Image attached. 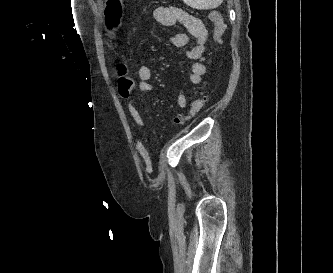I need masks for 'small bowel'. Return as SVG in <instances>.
I'll list each match as a JSON object with an SVG mask.
<instances>
[{
	"label": "small bowel",
	"instance_id": "c3829d8e",
	"mask_svg": "<svg viewBox=\"0 0 333 273\" xmlns=\"http://www.w3.org/2000/svg\"><path fill=\"white\" fill-rule=\"evenodd\" d=\"M152 16L159 25L165 27L180 26L185 29L184 33L168 36V41L173 46L185 50L186 57L192 61L189 68V81L193 84L200 83L206 71L205 45L208 30L204 22L185 10L172 6L158 7L153 10ZM137 75L139 92L141 94L151 93L154 88L151 83L152 70L150 67L147 65L140 66ZM136 102V98H131L127 103V109L136 125L141 130H145L146 123L137 109ZM177 104L181 109H187L189 105L187 96L183 91H179L177 94ZM178 120L179 116L174 119L173 123L175 124ZM135 148L145 162V171L151 172L152 164L149 152L142 138L136 139Z\"/></svg>",
	"mask_w": 333,
	"mask_h": 273
}]
</instances>
